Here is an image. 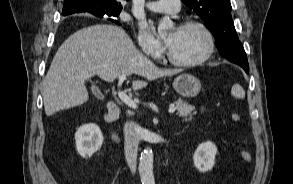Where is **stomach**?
I'll use <instances>...</instances> for the list:
<instances>
[{"label": "stomach", "mask_w": 293, "mask_h": 184, "mask_svg": "<svg viewBox=\"0 0 293 184\" xmlns=\"http://www.w3.org/2000/svg\"><path fill=\"white\" fill-rule=\"evenodd\" d=\"M175 91L183 97H195L201 91L200 81L191 74H181L174 79Z\"/></svg>", "instance_id": "1"}]
</instances>
